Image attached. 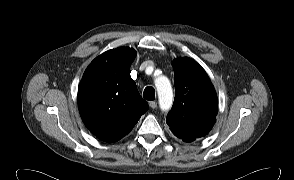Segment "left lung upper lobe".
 <instances>
[{
  "mask_svg": "<svg viewBox=\"0 0 294 180\" xmlns=\"http://www.w3.org/2000/svg\"><path fill=\"white\" fill-rule=\"evenodd\" d=\"M173 68L176 95L166 122L178 138L203 137L216 121L215 89L204 69L193 59H176Z\"/></svg>",
  "mask_w": 294,
  "mask_h": 180,
  "instance_id": "obj_1",
  "label": "left lung upper lobe"
}]
</instances>
